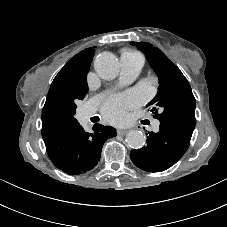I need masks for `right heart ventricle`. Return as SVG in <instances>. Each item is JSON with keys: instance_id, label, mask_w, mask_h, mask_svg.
<instances>
[{"instance_id": "e07e8e85", "label": "right heart ventricle", "mask_w": 227, "mask_h": 227, "mask_svg": "<svg viewBox=\"0 0 227 227\" xmlns=\"http://www.w3.org/2000/svg\"><path fill=\"white\" fill-rule=\"evenodd\" d=\"M122 56L131 57V58H137V59L141 60L142 62H144L143 56L139 52H136V51L125 50L123 52Z\"/></svg>"}]
</instances>
